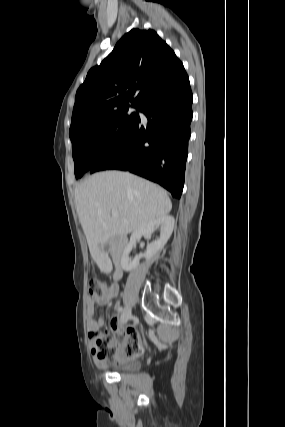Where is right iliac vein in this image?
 Masks as SVG:
<instances>
[{"instance_id":"63e3f726","label":"right iliac vein","mask_w":285,"mask_h":427,"mask_svg":"<svg viewBox=\"0 0 285 427\" xmlns=\"http://www.w3.org/2000/svg\"><path fill=\"white\" fill-rule=\"evenodd\" d=\"M131 309L129 307L125 308L121 316V322L125 324L131 318Z\"/></svg>"}]
</instances>
